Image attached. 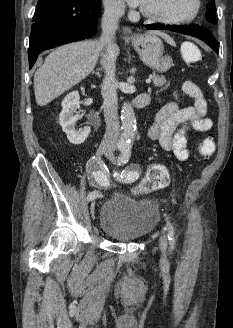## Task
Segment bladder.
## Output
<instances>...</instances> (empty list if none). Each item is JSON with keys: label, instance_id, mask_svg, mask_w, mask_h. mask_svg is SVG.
<instances>
[{"label": "bladder", "instance_id": "31cf9c89", "mask_svg": "<svg viewBox=\"0 0 233 328\" xmlns=\"http://www.w3.org/2000/svg\"><path fill=\"white\" fill-rule=\"evenodd\" d=\"M159 220L156 201L135 199L116 193L99 210V225L108 236L122 241L136 240L155 228Z\"/></svg>", "mask_w": 233, "mask_h": 328}]
</instances>
